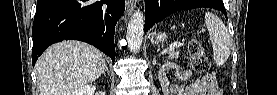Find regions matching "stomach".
Masks as SVG:
<instances>
[{"label": "stomach", "mask_w": 277, "mask_h": 95, "mask_svg": "<svg viewBox=\"0 0 277 95\" xmlns=\"http://www.w3.org/2000/svg\"><path fill=\"white\" fill-rule=\"evenodd\" d=\"M167 39V35L165 33H158L156 34V41L155 42H164Z\"/></svg>", "instance_id": "stomach-1"}]
</instances>
